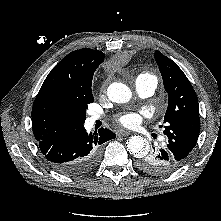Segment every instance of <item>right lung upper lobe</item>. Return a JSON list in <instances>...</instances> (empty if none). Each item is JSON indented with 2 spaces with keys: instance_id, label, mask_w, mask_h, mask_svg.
Masks as SVG:
<instances>
[{
  "instance_id": "cb5924a9",
  "label": "right lung upper lobe",
  "mask_w": 221,
  "mask_h": 221,
  "mask_svg": "<svg viewBox=\"0 0 221 221\" xmlns=\"http://www.w3.org/2000/svg\"><path fill=\"white\" fill-rule=\"evenodd\" d=\"M103 61V52L79 49L48 74L32 108V128L38 142L58 139L82 126L74 109Z\"/></svg>"
}]
</instances>
